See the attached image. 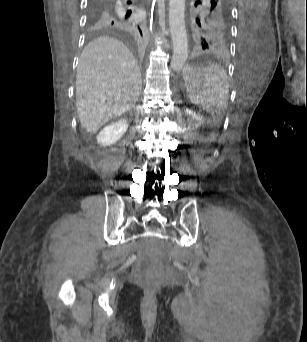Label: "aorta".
<instances>
[{"mask_svg": "<svg viewBox=\"0 0 307 342\" xmlns=\"http://www.w3.org/2000/svg\"><path fill=\"white\" fill-rule=\"evenodd\" d=\"M169 26L173 44L171 68L179 70L188 58L185 26V0H169Z\"/></svg>", "mask_w": 307, "mask_h": 342, "instance_id": "obj_1", "label": "aorta"}]
</instances>
